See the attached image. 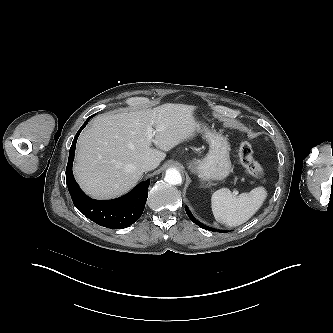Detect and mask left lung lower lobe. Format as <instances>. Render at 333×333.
<instances>
[{"mask_svg":"<svg viewBox=\"0 0 333 333\" xmlns=\"http://www.w3.org/2000/svg\"><path fill=\"white\" fill-rule=\"evenodd\" d=\"M186 213H187V215H188V217L195 223V224H197L198 226H200L201 228H204V229H206V230H209V231H215V229L214 228H211V227H208V226H206V225H203L202 223H200L199 221H197L193 216H192V214L190 213V211L188 210V208H186Z\"/></svg>","mask_w":333,"mask_h":333,"instance_id":"1","label":"left lung lower lobe"}]
</instances>
